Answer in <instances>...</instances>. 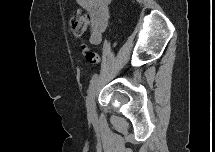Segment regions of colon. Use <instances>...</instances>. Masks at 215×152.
Instances as JSON below:
<instances>
[{
    "mask_svg": "<svg viewBox=\"0 0 215 152\" xmlns=\"http://www.w3.org/2000/svg\"><path fill=\"white\" fill-rule=\"evenodd\" d=\"M89 23V16L86 13H79L74 15L70 20V26L72 29V32L76 36L82 35L88 27ZM83 53L85 61L90 65H96L100 61L99 55L88 48L87 45H83Z\"/></svg>",
    "mask_w": 215,
    "mask_h": 152,
    "instance_id": "1",
    "label": "colon"
}]
</instances>
